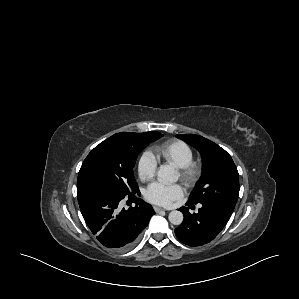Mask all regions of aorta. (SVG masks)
<instances>
[{"label":"aorta","mask_w":299,"mask_h":299,"mask_svg":"<svg viewBox=\"0 0 299 299\" xmlns=\"http://www.w3.org/2000/svg\"><path fill=\"white\" fill-rule=\"evenodd\" d=\"M157 179L162 183H172L177 180L174 168L170 165H162L157 172ZM168 219L173 225H180L183 222V214L178 210L169 213Z\"/></svg>","instance_id":"aorta-1"}]
</instances>
